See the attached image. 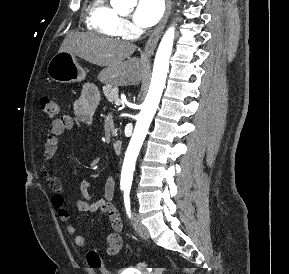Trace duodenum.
Returning a JSON list of instances; mask_svg holds the SVG:
<instances>
[{
  "instance_id": "1",
  "label": "duodenum",
  "mask_w": 289,
  "mask_h": 274,
  "mask_svg": "<svg viewBox=\"0 0 289 274\" xmlns=\"http://www.w3.org/2000/svg\"><path fill=\"white\" fill-rule=\"evenodd\" d=\"M123 143L121 140H115L112 144L115 153H120L122 150Z\"/></svg>"
}]
</instances>
